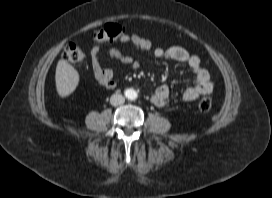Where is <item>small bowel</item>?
Listing matches in <instances>:
<instances>
[{
    "instance_id": "small-bowel-1",
    "label": "small bowel",
    "mask_w": 272,
    "mask_h": 198,
    "mask_svg": "<svg viewBox=\"0 0 272 198\" xmlns=\"http://www.w3.org/2000/svg\"><path fill=\"white\" fill-rule=\"evenodd\" d=\"M120 42L123 44L132 45L133 48L140 53L149 52L152 46L149 40L144 39L136 34L131 36H122ZM154 58L157 60L169 59L178 63L187 65L194 75V84L186 88L182 94V99L185 102H192L201 96L209 94L213 89V82L210 74L205 69L198 56L189 53L180 46H170L168 48H155L152 50ZM91 66L93 75L97 83L105 89H113L117 85L115 73L112 69L102 66V57L100 46H94L91 50ZM107 58L116 59L121 64L130 67L132 70L140 68V61L133 55L126 54L118 48H111L106 53ZM170 89L167 85L159 86L153 96L151 102L159 107L166 108L169 105Z\"/></svg>"
}]
</instances>
